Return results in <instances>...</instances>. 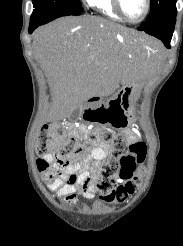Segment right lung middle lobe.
Segmentation results:
<instances>
[{
	"instance_id": "1",
	"label": "right lung middle lobe",
	"mask_w": 183,
	"mask_h": 246,
	"mask_svg": "<svg viewBox=\"0 0 183 246\" xmlns=\"http://www.w3.org/2000/svg\"><path fill=\"white\" fill-rule=\"evenodd\" d=\"M34 10L30 22L45 23L62 16L81 13L80 0H32Z\"/></svg>"
}]
</instances>
